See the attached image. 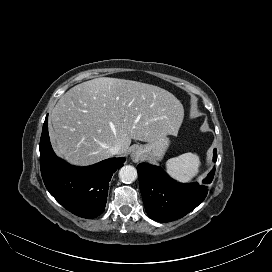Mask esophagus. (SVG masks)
I'll list each match as a JSON object with an SVG mask.
<instances>
[{"label":"esophagus","mask_w":272,"mask_h":272,"mask_svg":"<svg viewBox=\"0 0 272 272\" xmlns=\"http://www.w3.org/2000/svg\"><path fill=\"white\" fill-rule=\"evenodd\" d=\"M143 158V151L140 148H135L131 153L133 162H139Z\"/></svg>","instance_id":"esophagus-1"}]
</instances>
